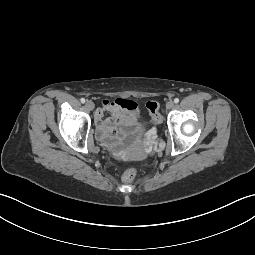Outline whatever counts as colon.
I'll use <instances>...</instances> for the list:
<instances>
[{"label": "colon", "instance_id": "5ec220e1", "mask_svg": "<svg viewBox=\"0 0 255 255\" xmlns=\"http://www.w3.org/2000/svg\"><path fill=\"white\" fill-rule=\"evenodd\" d=\"M146 108L150 114L151 121L154 124H159L162 120L161 114L159 112V104L155 101L147 102ZM136 169L134 167H129L125 170L122 175V181L126 184L131 183L136 176Z\"/></svg>", "mask_w": 255, "mask_h": 255}]
</instances>
